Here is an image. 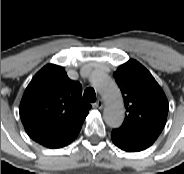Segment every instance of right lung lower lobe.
Masks as SVG:
<instances>
[{"label":"right lung lower lobe","mask_w":184,"mask_h":174,"mask_svg":"<svg viewBox=\"0 0 184 174\" xmlns=\"http://www.w3.org/2000/svg\"><path fill=\"white\" fill-rule=\"evenodd\" d=\"M80 130H78L76 133H74L69 139H67L66 141H64L63 143L59 144L58 146H56L55 148H62L68 144H70L79 134Z\"/></svg>","instance_id":"1"}]
</instances>
